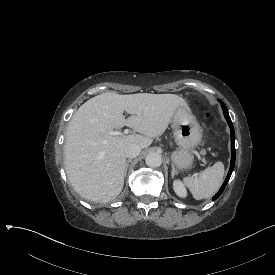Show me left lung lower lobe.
Returning a JSON list of instances; mask_svg holds the SVG:
<instances>
[{
    "label": "left lung lower lobe",
    "instance_id": "0a47b994",
    "mask_svg": "<svg viewBox=\"0 0 275 275\" xmlns=\"http://www.w3.org/2000/svg\"><path fill=\"white\" fill-rule=\"evenodd\" d=\"M223 111H224V116L229 124L230 130H231V165H230V170L228 172V175L226 177L225 182L223 183L222 187L220 188V190L218 191V193L213 197V200H216L224 191V188L227 184V182L229 181V178L232 174V171L234 169V165H235V132H234V127L233 124L231 122V119L229 117L227 108L225 105H222Z\"/></svg>",
    "mask_w": 275,
    "mask_h": 275
}]
</instances>
